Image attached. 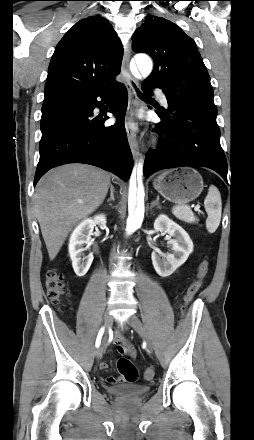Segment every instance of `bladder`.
<instances>
[{"label": "bladder", "instance_id": "obj_1", "mask_svg": "<svg viewBox=\"0 0 254 440\" xmlns=\"http://www.w3.org/2000/svg\"><path fill=\"white\" fill-rule=\"evenodd\" d=\"M149 390L148 385H115L107 388V391L116 397H138Z\"/></svg>", "mask_w": 254, "mask_h": 440}]
</instances>
